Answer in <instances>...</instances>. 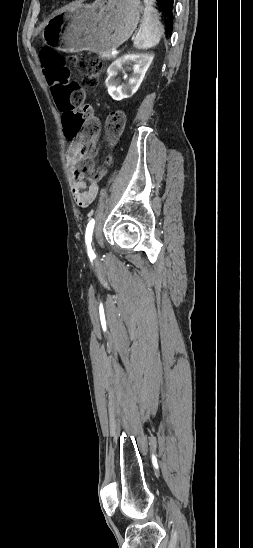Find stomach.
Returning a JSON list of instances; mask_svg holds the SVG:
<instances>
[{
	"mask_svg": "<svg viewBox=\"0 0 253 548\" xmlns=\"http://www.w3.org/2000/svg\"><path fill=\"white\" fill-rule=\"evenodd\" d=\"M142 13L140 0H96L75 5L54 15L42 38L65 52L111 53L130 38Z\"/></svg>",
	"mask_w": 253,
	"mask_h": 548,
	"instance_id": "obj_1",
	"label": "stomach"
}]
</instances>
